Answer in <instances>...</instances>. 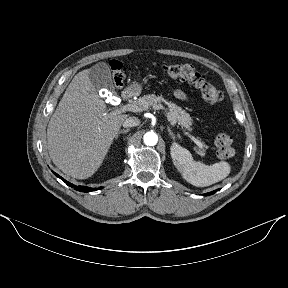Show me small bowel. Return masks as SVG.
<instances>
[{"instance_id":"small-bowel-1","label":"small bowel","mask_w":288,"mask_h":288,"mask_svg":"<svg viewBox=\"0 0 288 288\" xmlns=\"http://www.w3.org/2000/svg\"><path fill=\"white\" fill-rule=\"evenodd\" d=\"M174 95L176 98H178L180 100H185L187 98L186 94L182 90H176L174 92Z\"/></svg>"}]
</instances>
